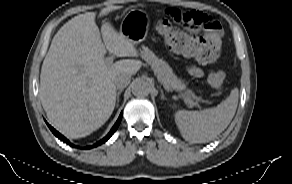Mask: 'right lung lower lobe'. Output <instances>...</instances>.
Returning a JSON list of instances; mask_svg holds the SVG:
<instances>
[{
  "instance_id": "1",
  "label": "right lung lower lobe",
  "mask_w": 292,
  "mask_h": 184,
  "mask_svg": "<svg viewBox=\"0 0 292 184\" xmlns=\"http://www.w3.org/2000/svg\"><path fill=\"white\" fill-rule=\"evenodd\" d=\"M121 119H122V113L120 114V116H119L118 120L116 121L115 125L112 127L111 131L108 133V135L106 137H104L102 140L98 141L94 145L86 147L85 149L94 148V147L99 146V145L103 144L104 142H106L115 133V131L119 127ZM47 125L50 128V130L54 133V135L56 137H58L61 141H63L64 143H66V144H68V145H70L72 147H77V146L73 145L72 143H70L63 135H61L58 131H56L48 123H47Z\"/></svg>"
}]
</instances>
